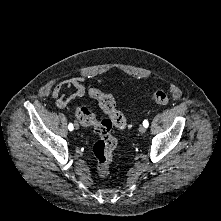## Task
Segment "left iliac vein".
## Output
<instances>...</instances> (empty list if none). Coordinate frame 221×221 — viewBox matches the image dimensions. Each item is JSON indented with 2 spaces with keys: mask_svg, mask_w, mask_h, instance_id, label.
Wrapping results in <instances>:
<instances>
[{
  "mask_svg": "<svg viewBox=\"0 0 221 221\" xmlns=\"http://www.w3.org/2000/svg\"><path fill=\"white\" fill-rule=\"evenodd\" d=\"M139 132L140 133H145L146 132V127L145 126H143V125H141L140 127H139Z\"/></svg>",
  "mask_w": 221,
  "mask_h": 221,
  "instance_id": "4c4485c4",
  "label": "left iliac vein"
}]
</instances>
